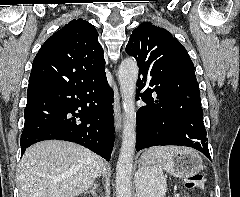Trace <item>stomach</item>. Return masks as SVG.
Listing matches in <instances>:
<instances>
[{
	"instance_id": "1",
	"label": "stomach",
	"mask_w": 240,
	"mask_h": 197,
	"mask_svg": "<svg viewBox=\"0 0 240 197\" xmlns=\"http://www.w3.org/2000/svg\"><path fill=\"white\" fill-rule=\"evenodd\" d=\"M139 173L151 166L160 164L172 176L177 178H186L200 172L203 168L202 159L198 153L188 148H180L178 151L170 153L168 159H160L155 153L146 151L140 157ZM137 189L141 196L144 193L145 180L138 174Z\"/></svg>"
}]
</instances>
